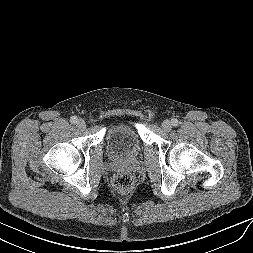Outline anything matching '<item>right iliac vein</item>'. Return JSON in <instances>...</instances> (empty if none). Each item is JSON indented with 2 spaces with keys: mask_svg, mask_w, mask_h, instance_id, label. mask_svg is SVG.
Segmentation results:
<instances>
[{
  "mask_svg": "<svg viewBox=\"0 0 253 253\" xmlns=\"http://www.w3.org/2000/svg\"><path fill=\"white\" fill-rule=\"evenodd\" d=\"M77 128L80 130H84L86 128V123L83 119H79L76 124Z\"/></svg>",
  "mask_w": 253,
  "mask_h": 253,
  "instance_id": "63e3f726",
  "label": "right iliac vein"
}]
</instances>
